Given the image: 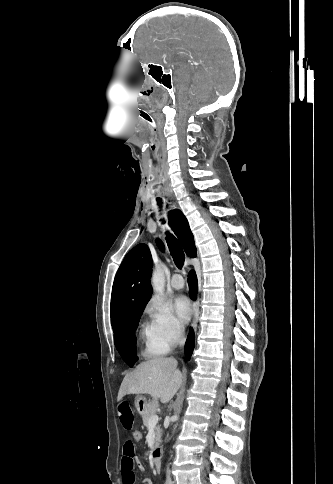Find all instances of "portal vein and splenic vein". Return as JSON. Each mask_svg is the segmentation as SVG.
I'll use <instances>...</instances> for the list:
<instances>
[{
    "instance_id": "portal-vein-and-splenic-vein-1",
    "label": "portal vein and splenic vein",
    "mask_w": 333,
    "mask_h": 484,
    "mask_svg": "<svg viewBox=\"0 0 333 484\" xmlns=\"http://www.w3.org/2000/svg\"><path fill=\"white\" fill-rule=\"evenodd\" d=\"M158 420H159V417L158 415H153L150 419H149V426H155L157 423H158Z\"/></svg>"
}]
</instances>
